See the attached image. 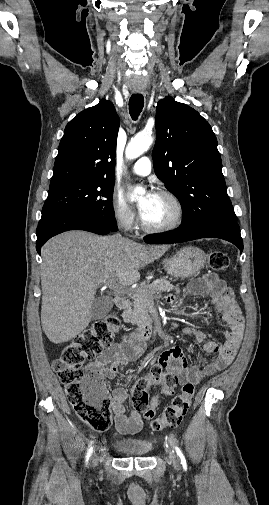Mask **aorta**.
<instances>
[{
  "label": "aorta",
  "mask_w": 269,
  "mask_h": 505,
  "mask_svg": "<svg viewBox=\"0 0 269 505\" xmlns=\"http://www.w3.org/2000/svg\"><path fill=\"white\" fill-rule=\"evenodd\" d=\"M153 142V137L149 132H140L131 141L128 143L126 147V157L128 159H135L141 156L145 151L149 149ZM145 194V189L142 187H136L133 189L131 193L130 200L139 201L142 199Z\"/></svg>",
  "instance_id": "aorta-1"
}]
</instances>
